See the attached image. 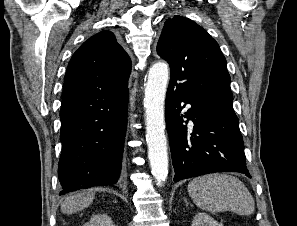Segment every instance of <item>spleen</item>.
<instances>
[{"mask_svg":"<svg viewBox=\"0 0 297 226\" xmlns=\"http://www.w3.org/2000/svg\"><path fill=\"white\" fill-rule=\"evenodd\" d=\"M188 193L198 207L209 212L251 215L255 210L251 193L232 175L215 173L197 177L188 184Z\"/></svg>","mask_w":297,"mask_h":226,"instance_id":"3e777b00","label":"spleen"}]
</instances>
